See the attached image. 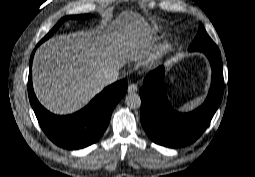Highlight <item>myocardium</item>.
<instances>
[{"label":"myocardium","instance_id":"1","mask_svg":"<svg viewBox=\"0 0 255 177\" xmlns=\"http://www.w3.org/2000/svg\"><path fill=\"white\" fill-rule=\"evenodd\" d=\"M154 64V61H151V62H149V63H147V67H151L152 65Z\"/></svg>","mask_w":255,"mask_h":177}]
</instances>
